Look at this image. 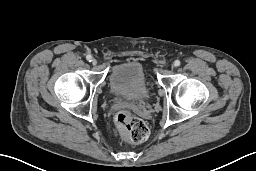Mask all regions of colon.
Wrapping results in <instances>:
<instances>
[{
    "instance_id": "1",
    "label": "colon",
    "mask_w": 256,
    "mask_h": 171,
    "mask_svg": "<svg viewBox=\"0 0 256 171\" xmlns=\"http://www.w3.org/2000/svg\"><path fill=\"white\" fill-rule=\"evenodd\" d=\"M115 124L122 136L132 143H142L148 138L149 129L146 123L129 111L117 113Z\"/></svg>"
}]
</instances>
